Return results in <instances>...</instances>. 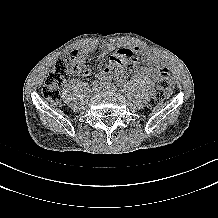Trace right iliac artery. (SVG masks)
<instances>
[{
  "instance_id": "1",
  "label": "right iliac artery",
  "mask_w": 218,
  "mask_h": 218,
  "mask_svg": "<svg viewBox=\"0 0 218 218\" xmlns=\"http://www.w3.org/2000/svg\"><path fill=\"white\" fill-rule=\"evenodd\" d=\"M104 78H98V80H96L93 84H98V83H103L104 82Z\"/></svg>"
}]
</instances>
